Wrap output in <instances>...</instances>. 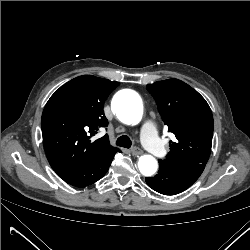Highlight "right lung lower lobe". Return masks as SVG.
<instances>
[{"label":"right lung lower lobe","instance_id":"right-lung-lower-lobe-1","mask_svg":"<svg viewBox=\"0 0 250 250\" xmlns=\"http://www.w3.org/2000/svg\"><path fill=\"white\" fill-rule=\"evenodd\" d=\"M117 151L103 154L90 165L73 171L57 172L65 182L76 187H85L101 179L108 171Z\"/></svg>","mask_w":250,"mask_h":250}]
</instances>
